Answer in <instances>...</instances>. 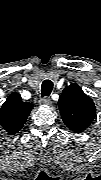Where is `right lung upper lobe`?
<instances>
[{
    "label": "right lung upper lobe",
    "instance_id": "obj_1",
    "mask_svg": "<svg viewBox=\"0 0 101 180\" xmlns=\"http://www.w3.org/2000/svg\"><path fill=\"white\" fill-rule=\"evenodd\" d=\"M33 105L23 102L18 93H11L0 109V123L8 134L13 135L21 130Z\"/></svg>",
    "mask_w": 101,
    "mask_h": 180
}]
</instances>
